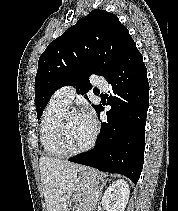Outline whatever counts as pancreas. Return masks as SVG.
I'll return each instance as SVG.
<instances>
[{
  "mask_svg": "<svg viewBox=\"0 0 178 211\" xmlns=\"http://www.w3.org/2000/svg\"><path fill=\"white\" fill-rule=\"evenodd\" d=\"M97 189H91L83 194L81 200L76 206V211H91L97 205L98 197L96 196Z\"/></svg>",
  "mask_w": 178,
  "mask_h": 211,
  "instance_id": "cf45deb5",
  "label": "pancreas"
}]
</instances>
